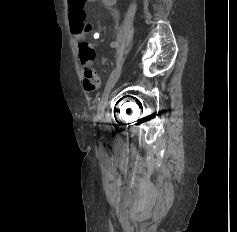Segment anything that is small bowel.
Wrapping results in <instances>:
<instances>
[{"instance_id":"obj_1","label":"small bowel","mask_w":237,"mask_h":232,"mask_svg":"<svg viewBox=\"0 0 237 232\" xmlns=\"http://www.w3.org/2000/svg\"><path fill=\"white\" fill-rule=\"evenodd\" d=\"M95 2L97 0H87ZM78 50L83 67L84 80L83 85L87 91H94L100 85L99 78L94 70V49L93 46L85 40L84 34H77Z\"/></svg>"}]
</instances>
